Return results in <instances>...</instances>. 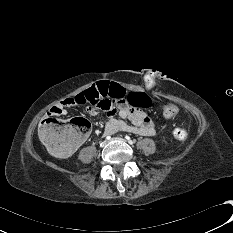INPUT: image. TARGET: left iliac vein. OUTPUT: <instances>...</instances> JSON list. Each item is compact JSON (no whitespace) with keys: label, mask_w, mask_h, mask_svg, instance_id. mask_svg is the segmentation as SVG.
I'll return each mask as SVG.
<instances>
[{"label":"left iliac vein","mask_w":233,"mask_h":233,"mask_svg":"<svg viewBox=\"0 0 233 233\" xmlns=\"http://www.w3.org/2000/svg\"><path fill=\"white\" fill-rule=\"evenodd\" d=\"M112 140L125 141L123 138H120V137L113 138Z\"/></svg>","instance_id":"4c4485c4"}]
</instances>
